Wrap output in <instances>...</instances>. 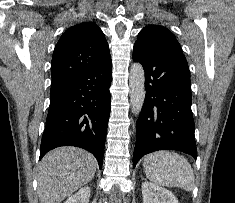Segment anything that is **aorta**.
<instances>
[{
  "mask_svg": "<svg viewBox=\"0 0 235 203\" xmlns=\"http://www.w3.org/2000/svg\"><path fill=\"white\" fill-rule=\"evenodd\" d=\"M130 103L132 112L138 115L145 100V73L140 63H134L130 69L129 77Z\"/></svg>",
  "mask_w": 235,
  "mask_h": 203,
  "instance_id": "aorta-1",
  "label": "aorta"
}]
</instances>
